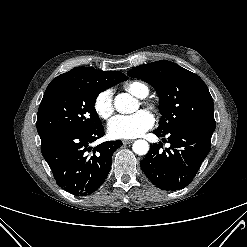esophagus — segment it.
<instances>
[{"instance_id":"1","label":"esophagus","mask_w":247,"mask_h":247,"mask_svg":"<svg viewBox=\"0 0 247 247\" xmlns=\"http://www.w3.org/2000/svg\"><path fill=\"white\" fill-rule=\"evenodd\" d=\"M122 143L123 144H130V143H133V140L124 139V140H122Z\"/></svg>"}]
</instances>
